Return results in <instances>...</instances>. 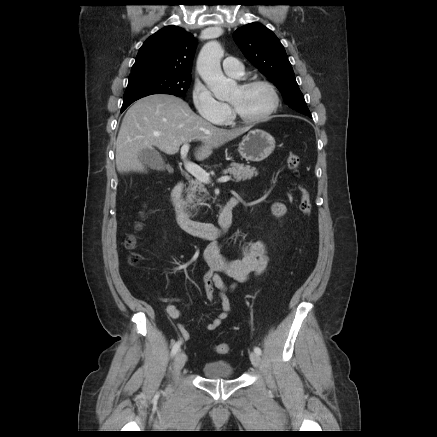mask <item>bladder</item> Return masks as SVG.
Returning <instances> with one entry per match:
<instances>
[{
  "instance_id": "obj_1",
  "label": "bladder",
  "mask_w": 437,
  "mask_h": 437,
  "mask_svg": "<svg viewBox=\"0 0 437 437\" xmlns=\"http://www.w3.org/2000/svg\"><path fill=\"white\" fill-rule=\"evenodd\" d=\"M203 374L209 379H229L234 376V368L225 361L207 362L203 366Z\"/></svg>"
}]
</instances>
